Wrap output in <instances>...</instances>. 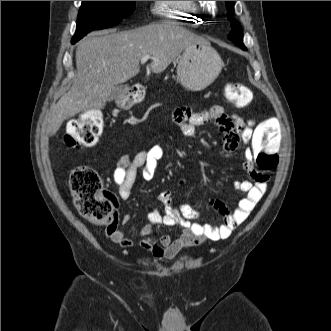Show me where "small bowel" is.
<instances>
[{
    "label": "small bowel",
    "instance_id": "small-bowel-1",
    "mask_svg": "<svg viewBox=\"0 0 331 331\" xmlns=\"http://www.w3.org/2000/svg\"><path fill=\"white\" fill-rule=\"evenodd\" d=\"M173 120L187 137H193L196 128L213 120L215 125L223 132V149L227 153L235 151L238 145L249 144L253 139L252 120H244L237 116H230L220 105H214L207 110L195 112L188 107H180L173 113ZM244 169L249 173L251 180H238L234 182L236 189L246 193L238 202L236 209L230 212L219 201H208L207 205L217 210L224 222L219 226L197 221L199 213L187 204L176 206L172 202V191L164 190L159 195V200L164 206V213L154 209L149 213V225L144 226L140 233V246L157 258H173L182 249L201 244L205 240L227 239L234 229L242 224L251 214L255 206L262 199L267 190L269 176L266 172L256 169L253 162V150L247 147L244 152ZM164 156L163 146L157 144L150 149L140 151L133 157L123 155L113 172V180L118 187L122 200H128L135 183L138 171L141 170L145 180L154 177L157 163ZM132 219L131 214H125L123 224H128ZM180 226L182 233L172 239L167 234L158 238H151L153 225ZM109 239L122 248H131L134 241L116 227L107 230Z\"/></svg>",
    "mask_w": 331,
    "mask_h": 331
}]
</instances>
